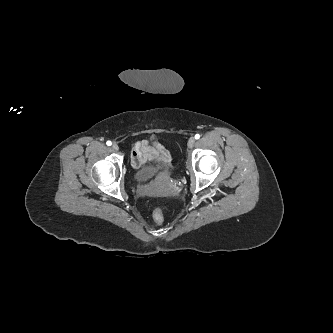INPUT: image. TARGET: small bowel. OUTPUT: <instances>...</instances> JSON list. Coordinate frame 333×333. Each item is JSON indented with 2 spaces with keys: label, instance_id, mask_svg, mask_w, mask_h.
I'll list each match as a JSON object with an SVG mask.
<instances>
[{
  "label": "small bowel",
  "instance_id": "obj_1",
  "mask_svg": "<svg viewBox=\"0 0 333 333\" xmlns=\"http://www.w3.org/2000/svg\"><path fill=\"white\" fill-rule=\"evenodd\" d=\"M130 162L134 168H140L150 163H168L170 155L166 149L157 142L150 143L141 140L134 144L130 151Z\"/></svg>",
  "mask_w": 333,
  "mask_h": 333
}]
</instances>
